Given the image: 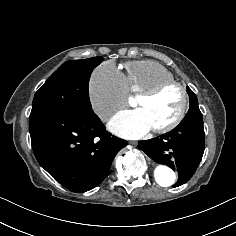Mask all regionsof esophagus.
I'll list each match as a JSON object with an SVG mask.
<instances>
[{"label": "esophagus", "instance_id": "34e87169", "mask_svg": "<svg viewBox=\"0 0 236 236\" xmlns=\"http://www.w3.org/2000/svg\"><path fill=\"white\" fill-rule=\"evenodd\" d=\"M131 145H137V141H130L129 142Z\"/></svg>", "mask_w": 236, "mask_h": 236}]
</instances>
